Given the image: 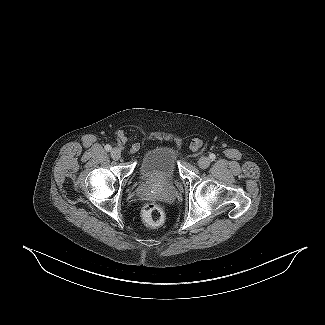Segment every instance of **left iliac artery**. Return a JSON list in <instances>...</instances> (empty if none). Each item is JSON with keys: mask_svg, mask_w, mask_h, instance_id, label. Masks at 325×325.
Wrapping results in <instances>:
<instances>
[{"mask_svg": "<svg viewBox=\"0 0 325 325\" xmlns=\"http://www.w3.org/2000/svg\"><path fill=\"white\" fill-rule=\"evenodd\" d=\"M209 157H210V159H211L212 161L215 160V158H216L215 154H213V153L210 154Z\"/></svg>", "mask_w": 325, "mask_h": 325, "instance_id": "left-iliac-artery-1", "label": "left iliac artery"}]
</instances>
